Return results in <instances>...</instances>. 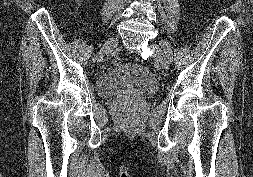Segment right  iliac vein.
<instances>
[{"label": "right iliac vein", "mask_w": 253, "mask_h": 177, "mask_svg": "<svg viewBox=\"0 0 253 177\" xmlns=\"http://www.w3.org/2000/svg\"><path fill=\"white\" fill-rule=\"evenodd\" d=\"M117 44H118L117 38L113 37V38L108 39L95 59L99 60L103 56L104 53L114 49L117 46Z\"/></svg>", "instance_id": "63e3f726"}]
</instances>
